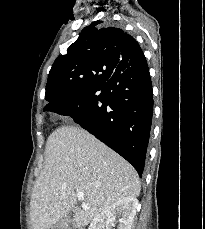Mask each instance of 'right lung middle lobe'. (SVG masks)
<instances>
[{
    "label": "right lung middle lobe",
    "mask_w": 205,
    "mask_h": 229,
    "mask_svg": "<svg viewBox=\"0 0 205 229\" xmlns=\"http://www.w3.org/2000/svg\"><path fill=\"white\" fill-rule=\"evenodd\" d=\"M109 77L110 76H107V75L96 76L95 78H93L92 85L91 86L96 85V84H99V83H104V82H106L109 79Z\"/></svg>",
    "instance_id": "1"
}]
</instances>
